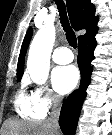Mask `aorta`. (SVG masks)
<instances>
[{
  "label": "aorta",
  "mask_w": 112,
  "mask_h": 135,
  "mask_svg": "<svg viewBox=\"0 0 112 135\" xmlns=\"http://www.w3.org/2000/svg\"><path fill=\"white\" fill-rule=\"evenodd\" d=\"M55 34L54 27H43L36 33L30 45L27 70L32 81L38 85L45 84L48 79Z\"/></svg>",
  "instance_id": "aorta-1"
}]
</instances>
